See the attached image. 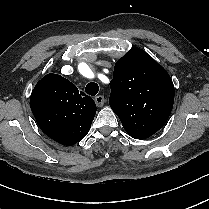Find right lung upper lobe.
Listing matches in <instances>:
<instances>
[{
  "instance_id": "right-lung-upper-lobe-1",
  "label": "right lung upper lobe",
  "mask_w": 209,
  "mask_h": 209,
  "mask_svg": "<svg viewBox=\"0 0 209 209\" xmlns=\"http://www.w3.org/2000/svg\"><path fill=\"white\" fill-rule=\"evenodd\" d=\"M30 107L41 130L63 145L88 133L96 113L94 100L58 74L44 76L34 87Z\"/></svg>"
}]
</instances>
